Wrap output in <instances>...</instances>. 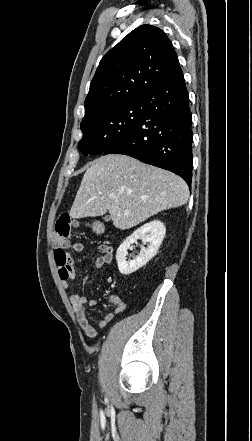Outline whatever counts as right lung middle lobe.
<instances>
[{
  "mask_svg": "<svg viewBox=\"0 0 252 441\" xmlns=\"http://www.w3.org/2000/svg\"><path fill=\"white\" fill-rule=\"evenodd\" d=\"M142 106L141 99H136L83 120L80 125L83 137L78 144L80 151L85 156L104 153L138 124Z\"/></svg>",
  "mask_w": 252,
  "mask_h": 441,
  "instance_id": "dd1d6c3e",
  "label": "right lung middle lobe"
}]
</instances>
